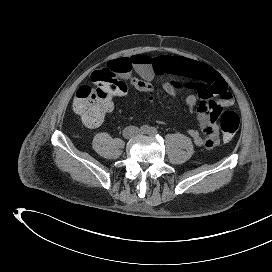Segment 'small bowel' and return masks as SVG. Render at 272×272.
<instances>
[{"label": "small bowel", "instance_id": "c3829d8e", "mask_svg": "<svg viewBox=\"0 0 272 272\" xmlns=\"http://www.w3.org/2000/svg\"><path fill=\"white\" fill-rule=\"evenodd\" d=\"M109 67L136 90L147 93L150 103L154 100V76L162 73L171 76L163 83V90L169 95L187 90L186 104L190 108L198 105V120L204 135L197 129L188 130L195 145L211 148L219 143L220 109L232 105L234 99L226 81L214 68L183 57L151 58L143 54L114 59ZM112 108L111 104L107 113Z\"/></svg>", "mask_w": 272, "mask_h": 272}]
</instances>
